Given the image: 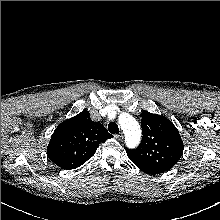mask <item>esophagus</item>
<instances>
[{"mask_svg": "<svg viewBox=\"0 0 220 220\" xmlns=\"http://www.w3.org/2000/svg\"><path fill=\"white\" fill-rule=\"evenodd\" d=\"M114 137H115L117 140L121 141V140H123L124 135H123V133H118V134H115Z\"/></svg>", "mask_w": 220, "mask_h": 220, "instance_id": "esophagus-1", "label": "esophagus"}]
</instances>
